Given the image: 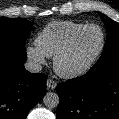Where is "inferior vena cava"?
I'll return each mask as SVG.
<instances>
[{
    "mask_svg": "<svg viewBox=\"0 0 119 119\" xmlns=\"http://www.w3.org/2000/svg\"><path fill=\"white\" fill-rule=\"evenodd\" d=\"M24 66L25 69L31 73H39L42 70V65L32 60L27 61Z\"/></svg>",
    "mask_w": 119,
    "mask_h": 119,
    "instance_id": "obj_1",
    "label": "inferior vena cava"
}]
</instances>
